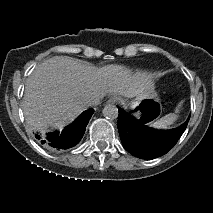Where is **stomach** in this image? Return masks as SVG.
Segmentation results:
<instances>
[{
	"mask_svg": "<svg viewBox=\"0 0 213 213\" xmlns=\"http://www.w3.org/2000/svg\"><path fill=\"white\" fill-rule=\"evenodd\" d=\"M145 100H153L160 104V99L154 90V85L148 84L145 88H138L137 92L130 99H125L128 108L138 107ZM139 113V110L137 111Z\"/></svg>",
	"mask_w": 213,
	"mask_h": 213,
	"instance_id": "1",
	"label": "stomach"
}]
</instances>
